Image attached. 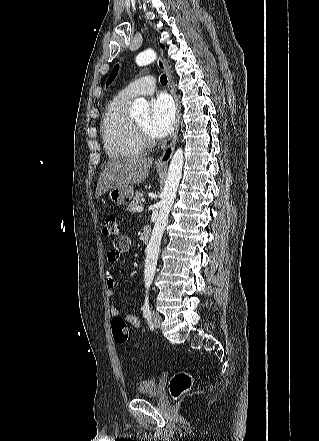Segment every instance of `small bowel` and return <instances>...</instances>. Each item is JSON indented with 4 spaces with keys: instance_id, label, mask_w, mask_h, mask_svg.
Instances as JSON below:
<instances>
[{
    "instance_id": "obj_1",
    "label": "small bowel",
    "mask_w": 319,
    "mask_h": 441,
    "mask_svg": "<svg viewBox=\"0 0 319 441\" xmlns=\"http://www.w3.org/2000/svg\"><path fill=\"white\" fill-rule=\"evenodd\" d=\"M131 247V240L127 236L119 237L113 245V248L107 253V260L109 263L114 264L119 261L120 255L128 251ZM107 296L113 298L115 296V288L117 286V280L115 277L108 273L106 276ZM110 313L112 317H116L119 314V308L116 305L110 307ZM125 320L135 328L141 327V322L138 317L133 314H127Z\"/></svg>"
}]
</instances>
